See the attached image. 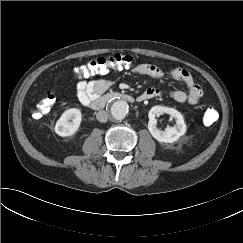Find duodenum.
Returning a JSON list of instances; mask_svg holds the SVG:
<instances>
[{"instance_id":"duodenum-1","label":"duodenum","mask_w":243,"mask_h":243,"mask_svg":"<svg viewBox=\"0 0 243 243\" xmlns=\"http://www.w3.org/2000/svg\"><path fill=\"white\" fill-rule=\"evenodd\" d=\"M118 99H122L128 102L142 101L141 96L135 98L132 95L122 93V92H110L102 97L93 100L90 103V107L95 110H100L103 109L108 103Z\"/></svg>"}]
</instances>
